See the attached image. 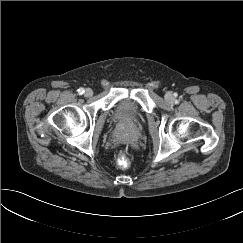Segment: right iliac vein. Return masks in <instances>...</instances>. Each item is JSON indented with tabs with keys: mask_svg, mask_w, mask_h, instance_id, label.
Returning a JSON list of instances; mask_svg holds the SVG:
<instances>
[{
	"mask_svg": "<svg viewBox=\"0 0 243 243\" xmlns=\"http://www.w3.org/2000/svg\"><path fill=\"white\" fill-rule=\"evenodd\" d=\"M84 95H85L86 97H90V96H92V95H93V91H92V89L87 88V89L84 91Z\"/></svg>",
	"mask_w": 243,
	"mask_h": 243,
	"instance_id": "obj_1",
	"label": "right iliac vein"
}]
</instances>
